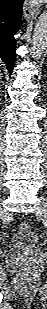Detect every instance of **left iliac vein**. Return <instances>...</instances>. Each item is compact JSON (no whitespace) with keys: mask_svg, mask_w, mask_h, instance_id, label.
Wrapping results in <instances>:
<instances>
[{"mask_svg":"<svg viewBox=\"0 0 47 309\" xmlns=\"http://www.w3.org/2000/svg\"><path fill=\"white\" fill-rule=\"evenodd\" d=\"M41 206L39 208H37L36 210V215L39 217V218H46V199L45 198H41Z\"/></svg>","mask_w":47,"mask_h":309,"instance_id":"1","label":"left iliac vein"}]
</instances>
